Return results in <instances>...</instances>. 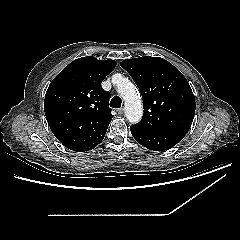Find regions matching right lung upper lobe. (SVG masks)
<instances>
[{
    "mask_svg": "<svg viewBox=\"0 0 240 240\" xmlns=\"http://www.w3.org/2000/svg\"><path fill=\"white\" fill-rule=\"evenodd\" d=\"M116 64L92 56L78 58L50 83L45 115L53 134L68 149L88 151L103 140L113 115L110 93L101 83Z\"/></svg>",
    "mask_w": 240,
    "mask_h": 240,
    "instance_id": "right-lung-upper-lobe-1",
    "label": "right lung upper lobe"
}]
</instances>
